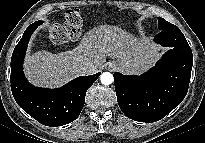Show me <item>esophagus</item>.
<instances>
[{
    "label": "esophagus",
    "instance_id": "esophagus-1",
    "mask_svg": "<svg viewBox=\"0 0 205 143\" xmlns=\"http://www.w3.org/2000/svg\"><path fill=\"white\" fill-rule=\"evenodd\" d=\"M114 68H115V65H114V64H109V65H108V69H111V70H112V69H114Z\"/></svg>",
    "mask_w": 205,
    "mask_h": 143
}]
</instances>
